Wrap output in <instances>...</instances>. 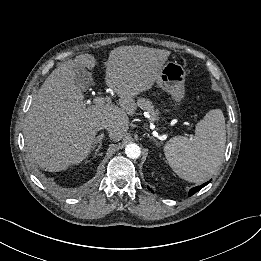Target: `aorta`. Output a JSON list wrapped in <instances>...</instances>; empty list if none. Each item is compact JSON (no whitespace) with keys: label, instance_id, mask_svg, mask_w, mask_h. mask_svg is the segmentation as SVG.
<instances>
[{"label":"aorta","instance_id":"aorta-1","mask_svg":"<svg viewBox=\"0 0 261 261\" xmlns=\"http://www.w3.org/2000/svg\"><path fill=\"white\" fill-rule=\"evenodd\" d=\"M125 154L131 159H137L141 154L140 147L135 143H130L125 147Z\"/></svg>","mask_w":261,"mask_h":261}]
</instances>
